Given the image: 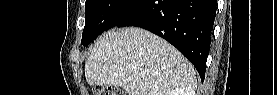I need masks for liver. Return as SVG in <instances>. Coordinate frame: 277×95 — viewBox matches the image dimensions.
Masks as SVG:
<instances>
[{
	"instance_id": "6515ba94",
	"label": "liver",
	"mask_w": 277,
	"mask_h": 95,
	"mask_svg": "<svg viewBox=\"0 0 277 95\" xmlns=\"http://www.w3.org/2000/svg\"><path fill=\"white\" fill-rule=\"evenodd\" d=\"M91 86L112 84L128 95H194V66L171 44L151 32L128 27L104 33L85 62Z\"/></svg>"
}]
</instances>
